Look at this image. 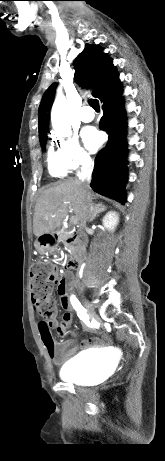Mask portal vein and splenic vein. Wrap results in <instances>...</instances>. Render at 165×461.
Listing matches in <instances>:
<instances>
[{
  "mask_svg": "<svg viewBox=\"0 0 165 461\" xmlns=\"http://www.w3.org/2000/svg\"><path fill=\"white\" fill-rule=\"evenodd\" d=\"M70 222H71L72 224H77V223H78V220H77V218H75V217H71Z\"/></svg>",
  "mask_w": 165,
  "mask_h": 461,
  "instance_id": "18ae733b",
  "label": "portal vein and splenic vein"
}]
</instances>
